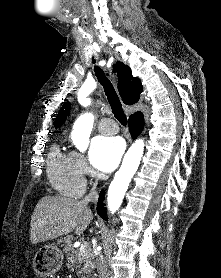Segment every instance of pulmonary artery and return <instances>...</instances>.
I'll return each instance as SVG.
<instances>
[{
  "instance_id": "obj_1",
  "label": "pulmonary artery",
  "mask_w": 221,
  "mask_h": 278,
  "mask_svg": "<svg viewBox=\"0 0 221 278\" xmlns=\"http://www.w3.org/2000/svg\"><path fill=\"white\" fill-rule=\"evenodd\" d=\"M99 130L104 134H114L118 132V127L111 119H103L99 123Z\"/></svg>"
}]
</instances>
